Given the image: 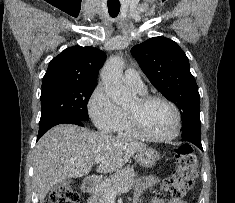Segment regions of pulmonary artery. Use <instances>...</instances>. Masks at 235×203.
<instances>
[{"mask_svg": "<svg viewBox=\"0 0 235 203\" xmlns=\"http://www.w3.org/2000/svg\"><path fill=\"white\" fill-rule=\"evenodd\" d=\"M124 83L136 91L144 92L146 87L139 75L134 69H127L124 73Z\"/></svg>", "mask_w": 235, "mask_h": 203, "instance_id": "obj_1", "label": "pulmonary artery"}]
</instances>
